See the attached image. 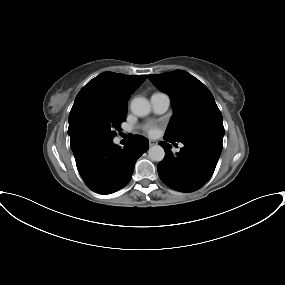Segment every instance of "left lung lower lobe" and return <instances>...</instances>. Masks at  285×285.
Instances as JSON below:
<instances>
[{
	"label": "left lung lower lobe",
	"mask_w": 285,
	"mask_h": 285,
	"mask_svg": "<svg viewBox=\"0 0 285 285\" xmlns=\"http://www.w3.org/2000/svg\"><path fill=\"white\" fill-rule=\"evenodd\" d=\"M168 142H175L164 136ZM184 147L173 155L171 145L160 143L165 150L158 164L160 179L170 188L180 192H193L201 188L214 173L222 150V143L213 139L182 142Z\"/></svg>",
	"instance_id": "left-lung-lower-lobe-1"
}]
</instances>
